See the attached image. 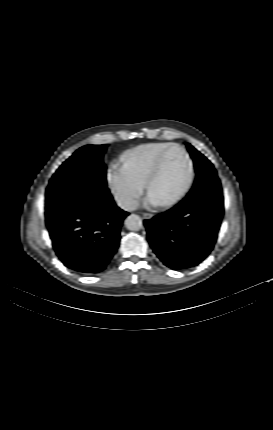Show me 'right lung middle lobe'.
<instances>
[{
  "label": "right lung middle lobe",
  "mask_w": 273,
  "mask_h": 430,
  "mask_svg": "<svg viewBox=\"0 0 273 430\" xmlns=\"http://www.w3.org/2000/svg\"><path fill=\"white\" fill-rule=\"evenodd\" d=\"M107 145H87L77 150L56 171L46 190V210L84 196H110L106 166Z\"/></svg>",
  "instance_id": "1"
}]
</instances>
